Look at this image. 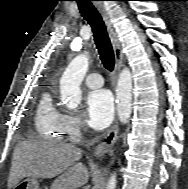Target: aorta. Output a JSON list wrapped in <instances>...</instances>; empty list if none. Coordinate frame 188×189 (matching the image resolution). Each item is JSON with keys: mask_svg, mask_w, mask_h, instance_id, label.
I'll list each match as a JSON object with an SVG mask.
<instances>
[{"mask_svg": "<svg viewBox=\"0 0 188 189\" xmlns=\"http://www.w3.org/2000/svg\"><path fill=\"white\" fill-rule=\"evenodd\" d=\"M87 54L76 56L68 65L60 79L61 101L69 109H75L81 102L80 85L88 69ZM117 113L121 123L126 124L132 110V75L124 68L118 78L116 89ZM116 188V173L108 181L106 189Z\"/></svg>", "mask_w": 188, "mask_h": 189, "instance_id": "obj_1", "label": "aorta"}]
</instances>
